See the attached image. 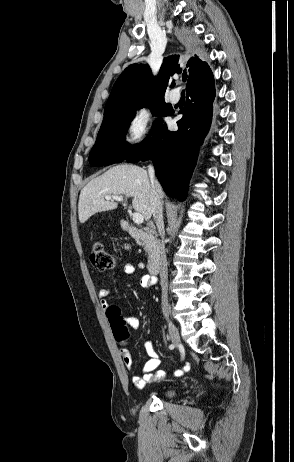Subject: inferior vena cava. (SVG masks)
<instances>
[{"mask_svg":"<svg viewBox=\"0 0 294 462\" xmlns=\"http://www.w3.org/2000/svg\"><path fill=\"white\" fill-rule=\"evenodd\" d=\"M148 173H149V178L151 182V197H150L151 212H152L154 221L158 227V230L162 234L164 232V223H163V216H162V202H161V196L157 188V182L154 178V167L152 165L148 166ZM159 263L161 265L160 279H161V288H162V300H161L162 312L163 314H168L169 304H168V295H167V288H168L167 264H166V260L163 255L162 249H160Z\"/></svg>","mask_w":294,"mask_h":462,"instance_id":"602c4592","label":"inferior vena cava"}]
</instances>
